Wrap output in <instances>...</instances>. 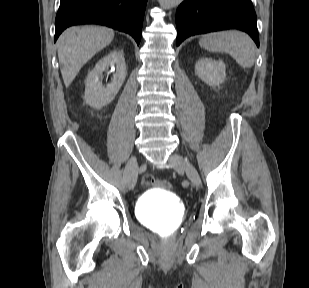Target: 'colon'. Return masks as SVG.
Instances as JSON below:
<instances>
[{"label":"colon","instance_id":"colon-1","mask_svg":"<svg viewBox=\"0 0 309 288\" xmlns=\"http://www.w3.org/2000/svg\"><path fill=\"white\" fill-rule=\"evenodd\" d=\"M142 184L145 186H158L161 188H169V183H167L166 181H160L157 180L154 176L152 175H145L142 178Z\"/></svg>","mask_w":309,"mask_h":288}]
</instances>
